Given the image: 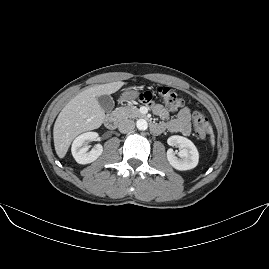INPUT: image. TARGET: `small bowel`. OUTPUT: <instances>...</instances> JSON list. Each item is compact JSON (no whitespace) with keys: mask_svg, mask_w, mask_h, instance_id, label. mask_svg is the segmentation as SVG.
<instances>
[{"mask_svg":"<svg viewBox=\"0 0 269 269\" xmlns=\"http://www.w3.org/2000/svg\"><path fill=\"white\" fill-rule=\"evenodd\" d=\"M152 109L156 115L165 119L167 118L166 110L160 104H153ZM161 129L156 132H161L164 128L170 132L180 133L187 136L191 133V110L188 107L182 108L177 116L167 122L166 124H160Z\"/></svg>","mask_w":269,"mask_h":269,"instance_id":"1","label":"small bowel"}]
</instances>
